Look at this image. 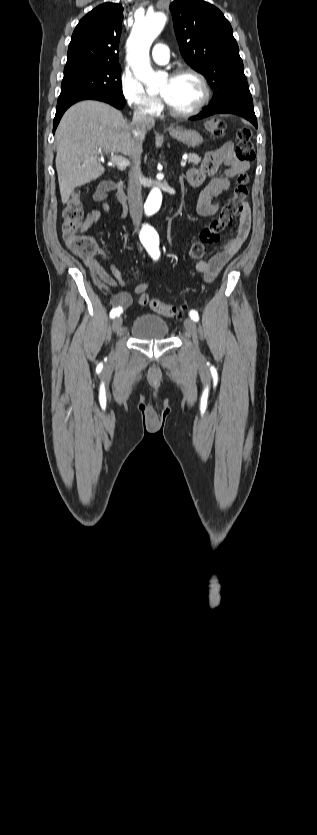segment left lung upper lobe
<instances>
[{"mask_svg":"<svg viewBox=\"0 0 317 835\" xmlns=\"http://www.w3.org/2000/svg\"><path fill=\"white\" fill-rule=\"evenodd\" d=\"M170 9L182 56L214 90L209 105L253 103L232 27L222 12L202 0H175Z\"/></svg>","mask_w":317,"mask_h":835,"instance_id":"left-lung-upper-lobe-1","label":"left lung upper lobe"}]
</instances>
